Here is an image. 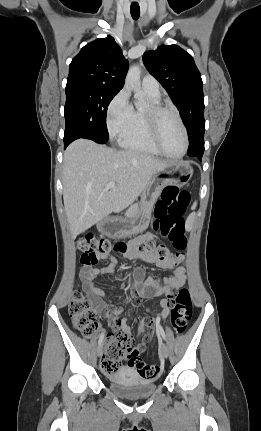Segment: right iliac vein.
Returning a JSON list of instances; mask_svg holds the SVG:
<instances>
[{
  "label": "right iliac vein",
  "mask_w": 261,
  "mask_h": 431,
  "mask_svg": "<svg viewBox=\"0 0 261 431\" xmlns=\"http://www.w3.org/2000/svg\"><path fill=\"white\" fill-rule=\"evenodd\" d=\"M102 348H103V345H102V344H100V345L98 346V348H97V355H98V356H100V355H101V353H102Z\"/></svg>",
  "instance_id": "obj_1"
}]
</instances>
